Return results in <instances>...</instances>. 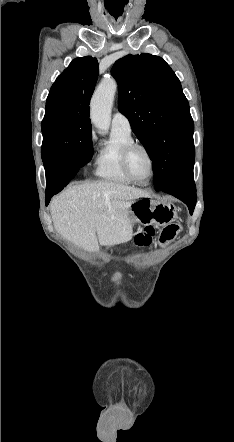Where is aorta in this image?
<instances>
[{"label": "aorta", "instance_id": "obj_1", "mask_svg": "<svg viewBox=\"0 0 234 442\" xmlns=\"http://www.w3.org/2000/svg\"><path fill=\"white\" fill-rule=\"evenodd\" d=\"M117 83L113 78H105L95 90L90 104V118L101 132H107L111 122V109Z\"/></svg>", "mask_w": 234, "mask_h": 442}]
</instances>
